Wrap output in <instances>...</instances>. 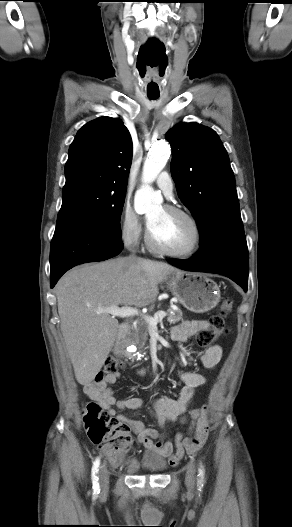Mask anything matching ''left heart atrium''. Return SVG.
I'll list each match as a JSON object with an SVG mask.
<instances>
[{
	"label": "left heart atrium",
	"mask_w": 292,
	"mask_h": 527,
	"mask_svg": "<svg viewBox=\"0 0 292 527\" xmlns=\"http://www.w3.org/2000/svg\"><path fill=\"white\" fill-rule=\"evenodd\" d=\"M152 225V220H148V227H150Z\"/></svg>",
	"instance_id": "39dd6f15"
}]
</instances>
